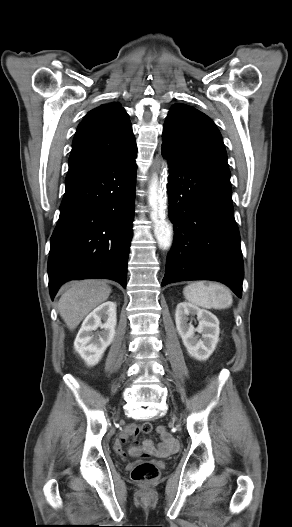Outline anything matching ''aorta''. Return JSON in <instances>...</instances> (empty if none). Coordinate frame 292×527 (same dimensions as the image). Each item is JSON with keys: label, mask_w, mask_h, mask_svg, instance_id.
Wrapping results in <instances>:
<instances>
[{"label": "aorta", "mask_w": 292, "mask_h": 527, "mask_svg": "<svg viewBox=\"0 0 292 527\" xmlns=\"http://www.w3.org/2000/svg\"><path fill=\"white\" fill-rule=\"evenodd\" d=\"M152 174L155 173L156 168H152ZM166 183H167V174L165 172L162 173V179H160V185L156 188V190L160 193L159 202L161 205V208L163 210L166 198L163 197L164 191L166 189ZM157 235L160 238L161 246L163 248H168L171 245V229L166 225L165 223V213L161 211L160 213V222L158 223L156 227Z\"/></svg>", "instance_id": "762f6f07"}]
</instances>
